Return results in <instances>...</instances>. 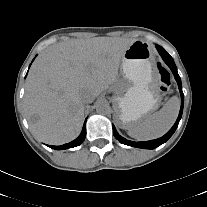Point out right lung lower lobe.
<instances>
[{"instance_id": "right-lung-lower-lobe-1", "label": "right lung lower lobe", "mask_w": 207, "mask_h": 207, "mask_svg": "<svg viewBox=\"0 0 207 207\" xmlns=\"http://www.w3.org/2000/svg\"><path fill=\"white\" fill-rule=\"evenodd\" d=\"M85 136H86V121L83 125V129H82L80 136L77 139H75L74 141L67 143V144H64V145H61V146H49V145L48 146L50 148L56 149V150L73 148V147L79 146L84 141Z\"/></svg>"}]
</instances>
